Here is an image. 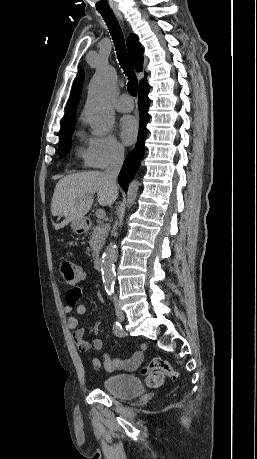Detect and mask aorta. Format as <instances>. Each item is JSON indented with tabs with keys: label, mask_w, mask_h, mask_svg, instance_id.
<instances>
[{
	"label": "aorta",
	"mask_w": 257,
	"mask_h": 459,
	"mask_svg": "<svg viewBox=\"0 0 257 459\" xmlns=\"http://www.w3.org/2000/svg\"><path fill=\"white\" fill-rule=\"evenodd\" d=\"M117 74L110 65H101L89 84L86 107L87 121L93 134L106 135L113 127L114 114L111 107L116 92ZM139 182L133 180L127 192V207H131L138 194ZM116 258V243L111 242L102 256V279L106 293L112 295L115 284L114 263Z\"/></svg>",
	"instance_id": "1"
}]
</instances>
